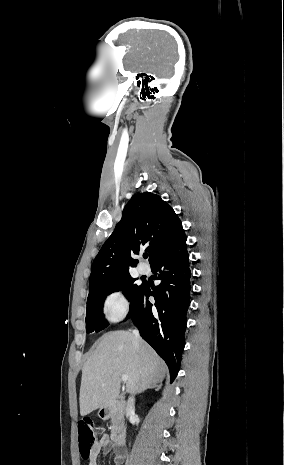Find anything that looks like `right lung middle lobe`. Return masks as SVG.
Segmentation results:
<instances>
[{"label":"right lung middle lobe","mask_w":284,"mask_h":465,"mask_svg":"<svg viewBox=\"0 0 284 465\" xmlns=\"http://www.w3.org/2000/svg\"><path fill=\"white\" fill-rule=\"evenodd\" d=\"M135 280L131 276L123 277L89 292L86 313L87 333L103 330L108 326L103 315V304L107 295L122 290L127 299L132 301L136 293L142 288V285L134 284Z\"/></svg>","instance_id":"obj_1"}]
</instances>
